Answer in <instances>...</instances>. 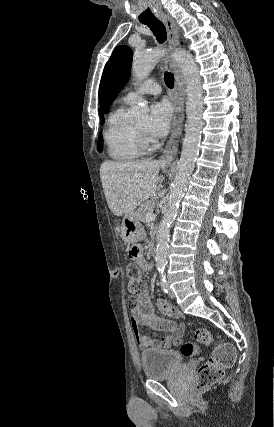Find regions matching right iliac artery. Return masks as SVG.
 Returning a JSON list of instances; mask_svg holds the SVG:
<instances>
[{
  "label": "right iliac artery",
  "instance_id": "82829eb1",
  "mask_svg": "<svg viewBox=\"0 0 274 427\" xmlns=\"http://www.w3.org/2000/svg\"><path fill=\"white\" fill-rule=\"evenodd\" d=\"M160 283H161L162 290L165 293H168V290H169L168 282L166 280H162Z\"/></svg>",
  "mask_w": 274,
  "mask_h": 427
}]
</instances>
